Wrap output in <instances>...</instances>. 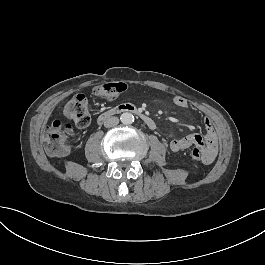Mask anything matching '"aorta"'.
<instances>
[{
	"label": "aorta",
	"instance_id": "1",
	"mask_svg": "<svg viewBox=\"0 0 265 265\" xmlns=\"http://www.w3.org/2000/svg\"><path fill=\"white\" fill-rule=\"evenodd\" d=\"M121 122L125 125H129L132 124L135 120L133 114H131L130 112H125L121 115Z\"/></svg>",
	"mask_w": 265,
	"mask_h": 265
}]
</instances>
